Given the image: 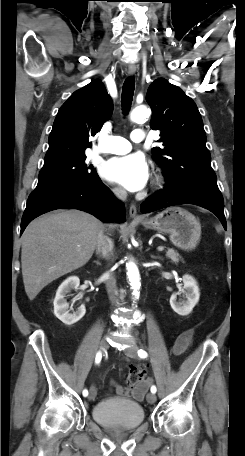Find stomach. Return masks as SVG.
Wrapping results in <instances>:
<instances>
[{
	"mask_svg": "<svg viewBox=\"0 0 245 456\" xmlns=\"http://www.w3.org/2000/svg\"><path fill=\"white\" fill-rule=\"evenodd\" d=\"M140 223L146 229L168 234L170 241L183 250L194 249L200 241L201 224L196 217L180 207L167 208Z\"/></svg>",
	"mask_w": 245,
	"mask_h": 456,
	"instance_id": "stomach-1",
	"label": "stomach"
}]
</instances>
